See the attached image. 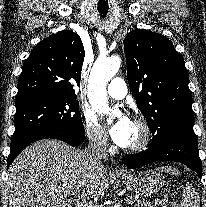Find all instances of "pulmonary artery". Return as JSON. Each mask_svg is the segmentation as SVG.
I'll use <instances>...</instances> for the list:
<instances>
[{
	"label": "pulmonary artery",
	"instance_id": "1",
	"mask_svg": "<svg viewBox=\"0 0 206 207\" xmlns=\"http://www.w3.org/2000/svg\"><path fill=\"white\" fill-rule=\"evenodd\" d=\"M107 94L114 99H122L127 94V86L123 79L113 78L107 88Z\"/></svg>",
	"mask_w": 206,
	"mask_h": 207
}]
</instances>
